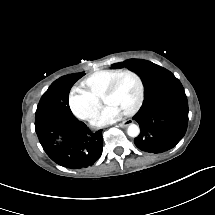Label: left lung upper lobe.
<instances>
[{
  "mask_svg": "<svg viewBox=\"0 0 215 215\" xmlns=\"http://www.w3.org/2000/svg\"><path fill=\"white\" fill-rule=\"evenodd\" d=\"M136 71L144 84V102L133 117L140 126L135 145L142 151L160 153L172 149L186 133L188 104L180 81L168 70L145 60H128L114 67Z\"/></svg>",
  "mask_w": 215,
  "mask_h": 215,
  "instance_id": "1",
  "label": "left lung upper lobe"
}]
</instances>
